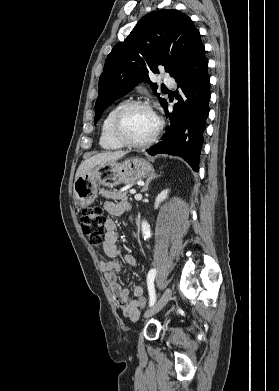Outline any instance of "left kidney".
I'll list each match as a JSON object with an SVG mask.
<instances>
[{
    "instance_id": "left-kidney-1",
    "label": "left kidney",
    "mask_w": 279,
    "mask_h": 391,
    "mask_svg": "<svg viewBox=\"0 0 279 391\" xmlns=\"http://www.w3.org/2000/svg\"><path fill=\"white\" fill-rule=\"evenodd\" d=\"M169 189L163 190L155 199V209H158L161 202L168 197Z\"/></svg>"
}]
</instances>
